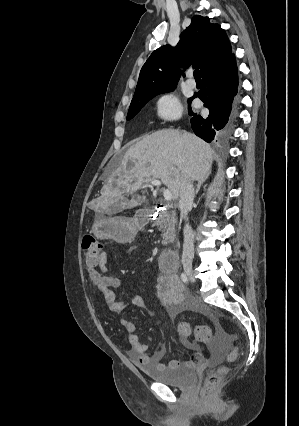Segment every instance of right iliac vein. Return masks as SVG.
Here are the masks:
<instances>
[{"label":"right iliac vein","instance_id":"1","mask_svg":"<svg viewBox=\"0 0 299 426\" xmlns=\"http://www.w3.org/2000/svg\"><path fill=\"white\" fill-rule=\"evenodd\" d=\"M184 270H185L186 274L190 277V279L194 280L192 268L188 265H185Z\"/></svg>","mask_w":299,"mask_h":426}]
</instances>
